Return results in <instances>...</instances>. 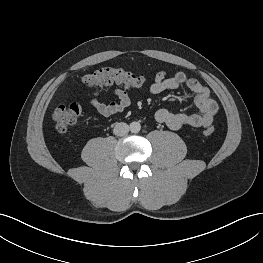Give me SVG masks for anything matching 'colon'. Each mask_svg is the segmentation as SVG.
Here are the masks:
<instances>
[{
  "label": "colon",
  "instance_id": "colon-1",
  "mask_svg": "<svg viewBox=\"0 0 263 263\" xmlns=\"http://www.w3.org/2000/svg\"><path fill=\"white\" fill-rule=\"evenodd\" d=\"M83 83L89 87L101 85H121L127 88L138 89L145 84V77L129 70L116 66H104L83 77ZM81 112L78 103L60 104L53 112L52 118L58 132H66L77 122ZM214 128L209 127L204 131L206 136L214 133Z\"/></svg>",
  "mask_w": 263,
  "mask_h": 263
}]
</instances>
